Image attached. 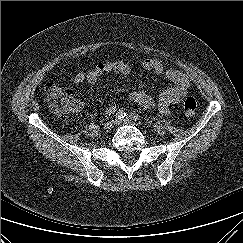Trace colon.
Listing matches in <instances>:
<instances>
[{"label":"colon","mask_w":243,"mask_h":243,"mask_svg":"<svg viewBox=\"0 0 243 243\" xmlns=\"http://www.w3.org/2000/svg\"><path fill=\"white\" fill-rule=\"evenodd\" d=\"M45 94L50 109L57 116L69 113L75 106L72 93L56 84H47L45 86ZM182 108L186 115H193L197 109L196 99L192 96L186 97L183 101Z\"/></svg>","instance_id":"colon-1"}]
</instances>
